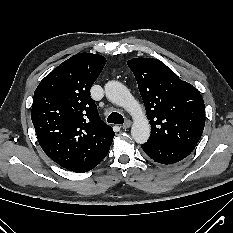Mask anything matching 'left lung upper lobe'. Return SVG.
I'll return each mask as SVG.
<instances>
[{
	"instance_id": "5c2ea615",
	"label": "left lung upper lobe",
	"mask_w": 233,
	"mask_h": 233,
	"mask_svg": "<svg viewBox=\"0 0 233 233\" xmlns=\"http://www.w3.org/2000/svg\"><path fill=\"white\" fill-rule=\"evenodd\" d=\"M133 72L151 125L149 139L193 151L205 125L199 91L153 58L127 62Z\"/></svg>"
}]
</instances>
